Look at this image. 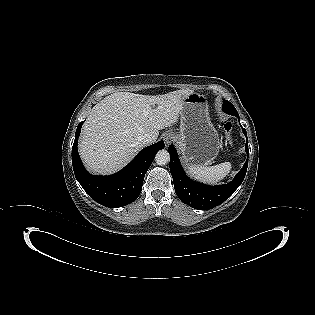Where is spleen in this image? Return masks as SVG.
Wrapping results in <instances>:
<instances>
[{
    "instance_id": "obj_1",
    "label": "spleen",
    "mask_w": 315,
    "mask_h": 315,
    "mask_svg": "<svg viewBox=\"0 0 315 315\" xmlns=\"http://www.w3.org/2000/svg\"><path fill=\"white\" fill-rule=\"evenodd\" d=\"M231 170V163L224 162L214 166L190 165L188 173L193 178L205 183H217L225 178Z\"/></svg>"
}]
</instances>
